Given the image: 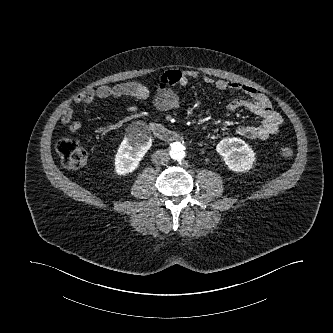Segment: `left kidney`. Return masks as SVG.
<instances>
[{"instance_id": "5707ae66", "label": "left kidney", "mask_w": 333, "mask_h": 333, "mask_svg": "<svg viewBox=\"0 0 333 333\" xmlns=\"http://www.w3.org/2000/svg\"><path fill=\"white\" fill-rule=\"evenodd\" d=\"M216 151L223 157L227 167L235 172L249 170L255 161L254 151L240 138L221 140L216 146Z\"/></svg>"}]
</instances>
